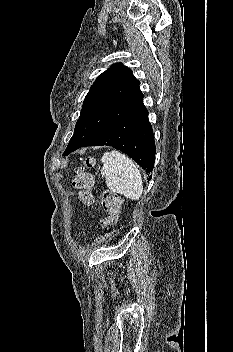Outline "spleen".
Wrapping results in <instances>:
<instances>
[{
	"mask_svg": "<svg viewBox=\"0 0 233 352\" xmlns=\"http://www.w3.org/2000/svg\"><path fill=\"white\" fill-rule=\"evenodd\" d=\"M102 175L107 187L131 200H138L143 192V181L134 162L119 151L106 152L101 158Z\"/></svg>",
	"mask_w": 233,
	"mask_h": 352,
	"instance_id": "1",
	"label": "spleen"
}]
</instances>
